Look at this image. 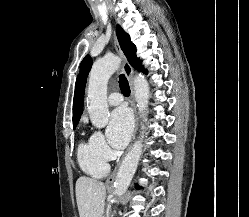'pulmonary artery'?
Masks as SVG:
<instances>
[{
    "label": "pulmonary artery",
    "mask_w": 249,
    "mask_h": 217,
    "mask_svg": "<svg viewBox=\"0 0 249 217\" xmlns=\"http://www.w3.org/2000/svg\"><path fill=\"white\" fill-rule=\"evenodd\" d=\"M122 100H123V97L118 92L111 93L108 97V102L110 105H118L122 102Z\"/></svg>",
    "instance_id": "obj_1"
}]
</instances>
